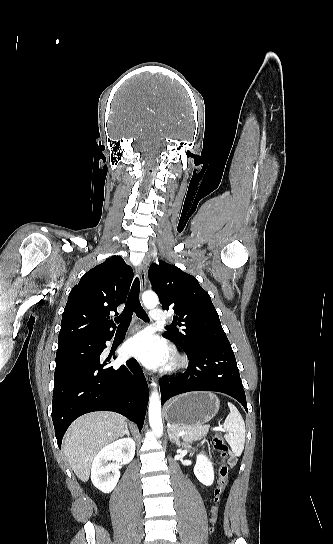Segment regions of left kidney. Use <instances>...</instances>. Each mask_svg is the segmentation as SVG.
Wrapping results in <instances>:
<instances>
[{"mask_svg":"<svg viewBox=\"0 0 333 544\" xmlns=\"http://www.w3.org/2000/svg\"><path fill=\"white\" fill-rule=\"evenodd\" d=\"M194 474L204 485L210 486L214 481V470L210 460L204 455H197Z\"/></svg>","mask_w":333,"mask_h":544,"instance_id":"5707ae66","label":"left kidney"}]
</instances>
